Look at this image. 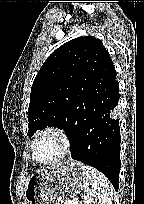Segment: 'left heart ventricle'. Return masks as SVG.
Returning a JSON list of instances; mask_svg holds the SVG:
<instances>
[{"label":"left heart ventricle","instance_id":"1","mask_svg":"<svg viewBox=\"0 0 144 204\" xmlns=\"http://www.w3.org/2000/svg\"><path fill=\"white\" fill-rule=\"evenodd\" d=\"M63 150L59 137L54 134L42 136L36 144V157L40 161H50L58 157Z\"/></svg>","mask_w":144,"mask_h":204}]
</instances>
